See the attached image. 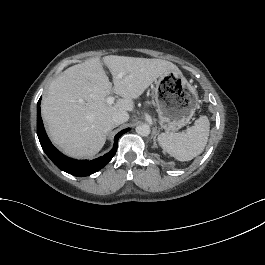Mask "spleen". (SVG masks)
Returning <instances> with one entry per match:
<instances>
[{"label":"spleen","instance_id":"spleen-1","mask_svg":"<svg viewBox=\"0 0 265 265\" xmlns=\"http://www.w3.org/2000/svg\"><path fill=\"white\" fill-rule=\"evenodd\" d=\"M208 132V119L202 116L183 132L162 133L158 135L157 140L167 154L180 161H186L203 150L207 142Z\"/></svg>","mask_w":265,"mask_h":265}]
</instances>
